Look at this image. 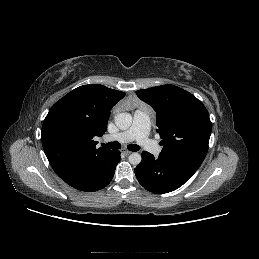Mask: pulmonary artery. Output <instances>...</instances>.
Returning a JSON list of instances; mask_svg holds the SVG:
<instances>
[{
	"instance_id": "e3ab8cb5",
	"label": "pulmonary artery",
	"mask_w": 259,
	"mask_h": 259,
	"mask_svg": "<svg viewBox=\"0 0 259 259\" xmlns=\"http://www.w3.org/2000/svg\"><path fill=\"white\" fill-rule=\"evenodd\" d=\"M150 113L148 109L136 110L133 115L132 126L126 130L105 138L107 141H118L127 143L137 141L145 150L158 155L161 148L148 137Z\"/></svg>"
}]
</instances>
